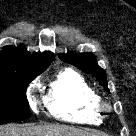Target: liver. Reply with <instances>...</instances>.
<instances>
[{
	"label": "liver",
	"instance_id": "6515ba94",
	"mask_svg": "<svg viewBox=\"0 0 136 136\" xmlns=\"http://www.w3.org/2000/svg\"><path fill=\"white\" fill-rule=\"evenodd\" d=\"M0 136H97L90 130H81L64 125L0 126Z\"/></svg>",
	"mask_w": 136,
	"mask_h": 136
}]
</instances>
